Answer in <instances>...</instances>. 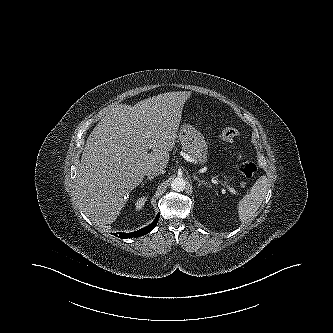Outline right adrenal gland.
<instances>
[{"label":"right adrenal gland","mask_w":333,"mask_h":333,"mask_svg":"<svg viewBox=\"0 0 333 333\" xmlns=\"http://www.w3.org/2000/svg\"><path fill=\"white\" fill-rule=\"evenodd\" d=\"M153 178H154V176H148V177L146 178V180H145L144 182H142L141 187L143 188L144 185H145V183H147V181H152Z\"/></svg>","instance_id":"obj_1"}]
</instances>
